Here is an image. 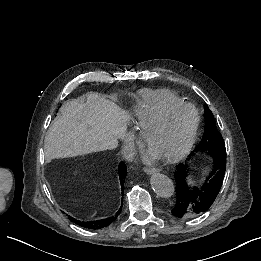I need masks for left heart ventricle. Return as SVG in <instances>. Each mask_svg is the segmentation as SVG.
Returning a JSON list of instances; mask_svg holds the SVG:
<instances>
[{"label": "left heart ventricle", "instance_id": "obj_1", "mask_svg": "<svg viewBox=\"0 0 261 261\" xmlns=\"http://www.w3.org/2000/svg\"><path fill=\"white\" fill-rule=\"evenodd\" d=\"M192 120V113L188 110L169 112L145 129L143 140L146 148L152 155L159 157L176 152L185 142Z\"/></svg>", "mask_w": 261, "mask_h": 261}]
</instances>
